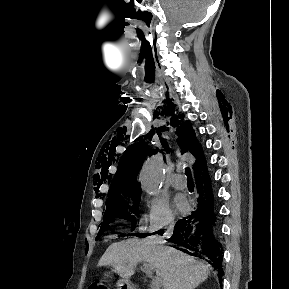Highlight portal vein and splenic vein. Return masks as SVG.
I'll list each match as a JSON object with an SVG mask.
<instances>
[{"label": "portal vein and splenic vein", "instance_id": "obj_1", "mask_svg": "<svg viewBox=\"0 0 289 289\" xmlns=\"http://www.w3.org/2000/svg\"><path fill=\"white\" fill-rule=\"evenodd\" d=\"M144 267L147 273H152L153 268L150 265L144 264ZM160 286L159 278H154L152 281V289H160Z\"/></svg>", "mask_w": 289, "mask_h": 289}]
</instances>
